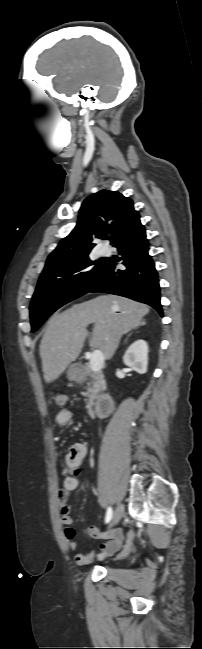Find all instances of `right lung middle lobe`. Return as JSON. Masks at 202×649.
Listing matches in <instances>:
<instances>
[{"mask_svg":"<svg viewBox=\"0 0 202 649\" xmlns=\"http://www.w3.org/2000/svg\"><path fill=\"white\" fill-rule=\"evenodd\" d=\"M104 262L91 261L86 254L70 271L39 278L30 304L31 332H35L56 309L86 294Z\"/></svg>","mask_w":202,"mask_h":649,"instance_id":"dd1d6c3e","label":"right lung middle lobe"}]
</instances>
